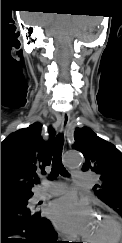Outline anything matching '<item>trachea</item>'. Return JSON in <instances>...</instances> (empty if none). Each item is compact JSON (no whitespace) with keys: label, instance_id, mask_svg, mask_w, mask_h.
<instances>
[{"label":"trachea","instance_id":"3493384b","mask_svg":"<svg viewBox=\"0 0 122 243\" xmlns=\"http://www.w3.org/2000/svg\"><path fill=\"white\" fill-rule=\"evenodd\" d=\"M63 142H64L63 135H58L56 139L55 152L53 155L52 169L49 175V179L51 180L55 179L59 174L63 176H68V171L63 166L62 159H61ZM34 182L38 183L39 180L35 179Z\"/></svg>","mask_w":122,"mask_h":243}]
</instances>
